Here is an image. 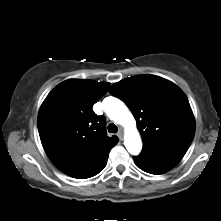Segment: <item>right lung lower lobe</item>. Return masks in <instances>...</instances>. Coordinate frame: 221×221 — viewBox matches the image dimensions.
<instances>
[{
	"mask_svg": "<svg viewBox=\"0 0 221 221\" xmlns=\"http://www.w3.org/2000/svg\"><path fill=\"white\" fill-rule=\"evenodd\" d=\"M107 158H108V155L104 157L102 160H100L98 163L94 164L93 166L80 170V171L73 172L69 174V176L78 178V179H84V178L95 176L104 169V167L107 164Z\"/></svg>",
	"mask_w": 221,
	"mask_h": 221,
	"instance_id": "98d812e1",
	"label": "right lung lower lobe"
}]
</instances>
